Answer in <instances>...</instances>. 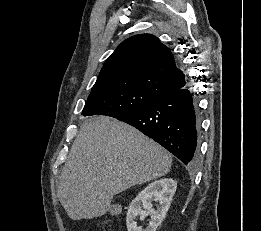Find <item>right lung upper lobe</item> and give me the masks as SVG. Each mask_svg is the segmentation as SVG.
Returning <instances> with one entry per match:
<instances>
[{"label":"right lung upper lobe","instance_id":"1","mask_svg":"<svg viewBox=\"0 0 261 231\" xmlns=\"http://www.w3.org/2000/svg\"><path fill=\"white\" fill-rule=\"evenodd\" d=\"M187 81L170 49L155 36L140 34L123 41L107 58L91 92L135 86L160 98Z\"/></svg>","mask_w":261,"mask_h":231}]
</instances>
